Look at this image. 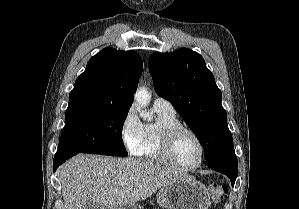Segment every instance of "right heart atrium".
<instances>
[{"instance_id":"d8ad5b80","label":"right heart atrium","mask_w":299,"mask_h":209,"mask_svg":"<svg viewBox=\"0 0 299 209\" xmlns=\"http://www.w3.org/2000/svg\"><path fill=\"white\" fill-rule=\"evenodd\" d=\"M143 124L140 121L134 106L130 107L124 115L120 136L128 152L136 155L142 142Z\"/></svg>"}]
</instances>
